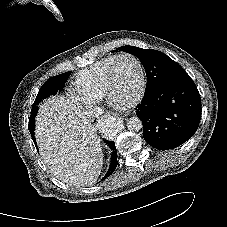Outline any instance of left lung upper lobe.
<instances>
[{"instance_id": "left-lung-upper-lobe-1", "label": "left lung upper lobe", "mask_w": 227, "mask_h": 227, "mask_svg": "<svg viewBox=\"0 0 227 227\" xmlns=\"http://www.w3.org/2000/svg\"><path fill=\"white\" fill-rule=\"evenodd\" d=\"M117 50L133 54L140 59L147 76L146 91L169 78L186 73L178 63L160 51L128 45L121 46Z\"/></svg>"}]
</instances>
